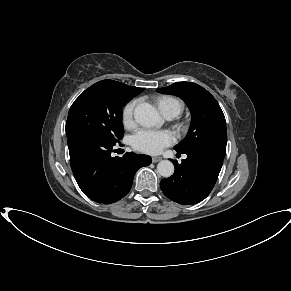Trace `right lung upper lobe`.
Here are the masks:
<instances>
[{"mask_svg": "<svg viewBox=\"0 0 291 291\" xmlns=\"http://www.w3.org/2000/svg\"><path fill=\"white\" fill-rule=\"evenodd\" d=\"M98 83L106 85L115 91L130 94L133 96L140 94L144 90L143 88L128 86L126 84H123V83L117 82V81H113V80H103V81H100Z\"/></svg>", "mask_w": 291, "mask_h": 291, "instance_id": "1", "label": "right lung upper lobe"}]
</instances>
